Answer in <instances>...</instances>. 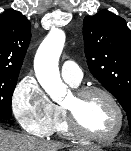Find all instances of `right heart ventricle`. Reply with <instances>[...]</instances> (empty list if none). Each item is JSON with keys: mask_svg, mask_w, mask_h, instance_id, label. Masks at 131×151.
I'll return each instance as SVG.
<instances>
[{"mask_svg": "<svg viewBox=\"0 0 131 151\" xmlns=\"http://www.w3.org/2000/svg\"><path fill=\"white\" fill-rule=\"evenodd\" d=\"M70 85L73 87L78 86V85H73V84H70ZM55 107H56L57 116H56L55 122L53 124V127H52L49 135L56 134V135L64 137V138L72 137L73 135L71 134V132L68 128V124L66 121V116H65L63 108L61 106H57V105H55Z\"/></svg>", "mask_w": 131, "mask_h": 151, "instance_id": "1", "label": "right heart ventricle"}]
</instances>
